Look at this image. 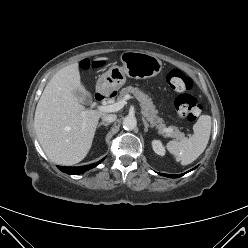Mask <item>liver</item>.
Wrapping results in <instances>:
<instances>
[{
    "label": "liver",
    "mask_w": 248,
    "mask_h": 248,
    "mask_svg": "<svg viewBox=\"0 0 248 248\" xmlns=\"http://www.w3.org/2000/svg\"><path fill=\"white\" fill-rule=\"evenodd\" d=\"M106 60L102 57L94 62ZM87 94L79 65L73 63L51 78L39 99L34 117L36 136L47 157L57 164H76L91 148L98 120L105 113L83 107Z\"/></svg>",
    "instance_id": "1"
}]
</instances>
